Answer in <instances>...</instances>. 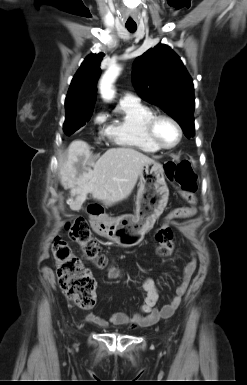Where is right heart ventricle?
Returning <instances> with one entry per match:
<instances>
[{"instance_id":"e07e8e85","label":"right heart ventricle","mask_w":247,"mask_h":385,"mask_svg":"<svg viewBox=\"0 0 247 385\" xmlns=\"http://www.w3.org/2000/svg\"><path fill=\"white\" fill-rule=\"evenodd\" d=\"M154 114L148 106L140 103L120 102L117 117L106 129L107 137L117 145L131 147L146 153L159 151L149 139L145 125Z\"/></svg>"}]
</instances>
